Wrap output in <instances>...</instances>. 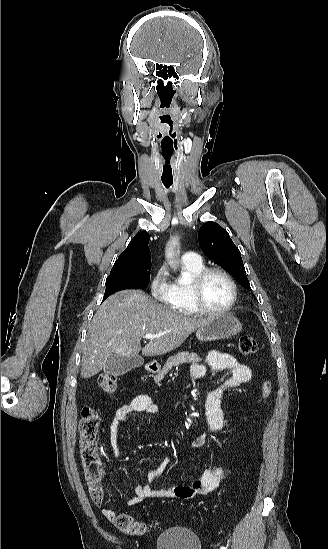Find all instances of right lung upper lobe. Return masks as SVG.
Here are the masks:
<instances>
[{"label": "right lung upper lobe", "mask_w": 328, "mask_h": 549, "mask_svg": "<svg viewBox=\"0 0 328 549\" xmlns=\"http://www.w3.org/2000/svg\"><path fill=\"white\" fill-rule=\"evenodd\" d=\"M148 243L149 234L147 232H141L136 234L128 244L126 250L119 255L111 271L123 268L142 260H151Z\"/></svg>", "instance_id": "cb5924a9"}]
</instances>
